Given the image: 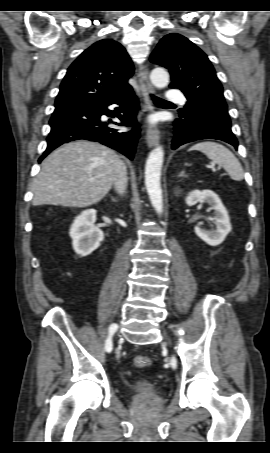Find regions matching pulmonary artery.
<instances>
[{"label": "pulmonary artery", "mask_w": 270, "mask_h": 453, "mask_svg": "<svg viewBox=\"0 0 270 453\" xmlns=\"http://www.w3.org/2000/svg\"><path fill=\"white\" fill-rule=\"evenodd\" d=\"M167 98H168V100H172V101H180V102L185 101L182 92H180L178 90H173V89H170L168 91Z\"/></svg>", "instance_id": "pulmonary-artery-1"}]
</instances>
